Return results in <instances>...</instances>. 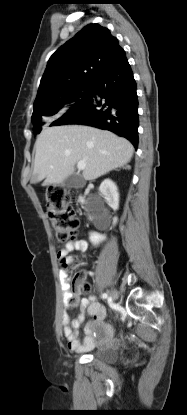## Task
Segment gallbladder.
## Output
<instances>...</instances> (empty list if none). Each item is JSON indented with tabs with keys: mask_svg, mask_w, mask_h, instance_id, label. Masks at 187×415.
<instances>
[{
	"mask_svg": "<svg viewBox=\"0 0 187 415\" xmlns=\"http://www.w3.org/2000/svg\"><path fill=\"white\" fill-rule=\"evenodd\" d=\"M63 185L68 188H80L84 185V180L80 176L72 174L63 181Z\"/></svg>",
	"mask_w": 187,
	"mask_h": 415,
	"instance_id": "1",
	"label": "gallbladder"
}]
</instances>
